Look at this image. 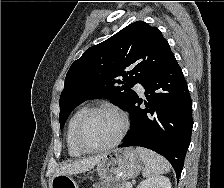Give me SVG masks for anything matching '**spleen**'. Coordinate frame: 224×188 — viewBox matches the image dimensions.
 I'll return each mask as SVG.
<instances>
[{"instance_id": "3e777b00", "label": "spleen", "mask_w": 224, "mask_h": 188, "mask_svg": "<svg viewBox=\"0 0 224 188\" xmlns=\"http://www.w3.org/2000/svg\"><path fill=\"white\" fill-rule=\"evenodd\" d=\"M136 151L145 165L142 172L144 177H152L170 171L169 163L161 155L143 147H137Z\"/></svg>"}]
</instances>
